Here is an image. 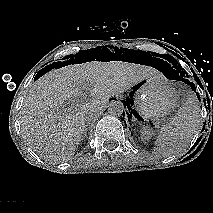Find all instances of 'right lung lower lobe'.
<instances>
[{"instance_id": "obj_1", "label": "right lung lower lobe", "mask_w": 213, "mask_h": 213, "mask_svg": "<svg viewBox=\"0 0 213 213\" xmlns=\"http://www.w3.org/2000/svg\"><path fill=\"white\" fill-rule=\"evenodd\" d=\"M60 64H61V62H55V63H52V64H50L49 66L45 67L44 69L40 70V71L37 73V75H36V77H35V80L38 79L41 75H43V74L46 73L47 71H50V70L53 69L55 66L60 65ZM61 65H63V64H61Z\"/></svg>"}]
</instances>
